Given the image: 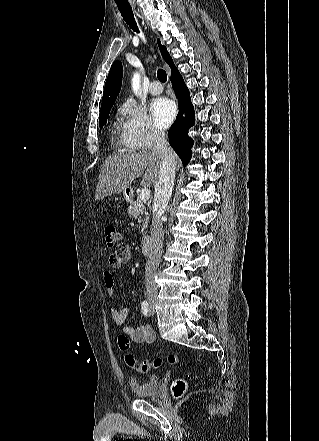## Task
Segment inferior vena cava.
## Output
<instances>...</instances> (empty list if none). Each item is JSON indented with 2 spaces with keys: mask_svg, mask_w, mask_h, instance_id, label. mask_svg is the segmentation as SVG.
I'll list each match as a JSON object with an SVG mask.
<instances>
[{
  "mask_svg": "<svg viewBox=\"0 0 319 441\" xmlns=\"http://www.w3.org/2000/svg\"><path fill=\"white\" fill-rule=\"evenodd\" d=\"M153 155L160 160V173L155 185L153 206L156 211L152 217L151 245L145 271L146 296L148 298L157 295L154 276L161 260L164 241L162 215L171 198L175 181V154L166 141L164 131L156 130L154 132Z\"/></svg>",
  "mask_w": 319,
  "mask_h": 441,
  "instance_id": "1",
  "label": "inferior vena cava"
}]
</instances>
